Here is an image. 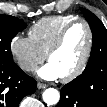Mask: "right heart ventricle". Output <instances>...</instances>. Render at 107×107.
Instances as JSON below:
<instances>
[{
	"instance_id": "obj_1",
	"label": "right heart ventricle",
	"mask_w": 107,
	"mask_h": 107,
	"mask_svg": "<svg viewBox=\"0 0 107 107\" xmlns=\"http://www.w3.org/2000/svg\"><path fill=\"white\" fill-rule=\"evenodd\" d=\"M76 19L73 15H54L41 18L29 29V37L46 55L65 25Z\"/></svg>"
}]
</instances>
